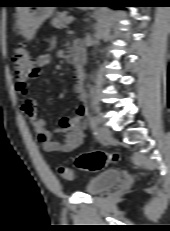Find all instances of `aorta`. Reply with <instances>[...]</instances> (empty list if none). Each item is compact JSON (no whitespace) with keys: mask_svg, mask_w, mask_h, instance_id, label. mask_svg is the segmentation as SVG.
Here are the masks:
<instances>
[{"mask_svg":"<svg viewBox=\"0 0 170 231\" xmlns=\"http://www.w3.org/2000/svg\"><path fill=\"white\" fill-rule=\"evenodd\" d=\"M107 13L106 7H101L99 11L98 23L96 25V32H95V46L97 47L99 44V40L102 36V23Z\"/></svg>","mask_w":170,"mask_h":231,"instance_id":"obj_1","label":"aorta"}]
</instances>
